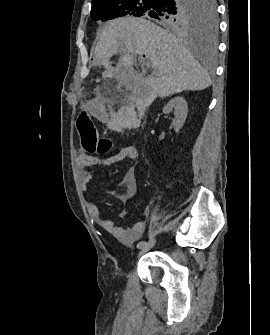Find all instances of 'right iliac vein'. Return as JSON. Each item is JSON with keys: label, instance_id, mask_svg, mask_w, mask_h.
<instances>
[{"label": "right iliac vein", "instance_id": "obj_1", "mask_svg": "<svg viewBox=\"0 0 270 335\" xmlns=\"http://www.w3.org/2000/svg\"><path fill=\"white\" fill-rule=\"evenodd\" d=\"M156 243V239L155 238H152L149 242H147V244L142 247V248H139L140 251H139V255L147 252L148 250H150Z\"/></svg>", "mask_w": 270, "mask_h": 335}]
</instances>
